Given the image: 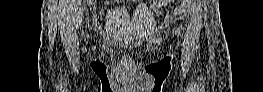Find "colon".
I'll list each match as a JSON object with an SVG mask.
<instances>
[{
  "label": "colon",
  "mask_w": 263,
  "mask_h": 92,
  "mask_svg": "<svg viewBox=\"0 0 263 92\" xmlns=\"http://www.w3.org/2000/svg\"><path fill=\"white\" fill-rule=\"evenodd\" d=\"M151 2H154V3H165V2H168V1H164V0H157V1H151Z\"/></svg>",
  "instance_id": "obj_1"
}]
</instances>
